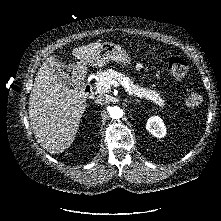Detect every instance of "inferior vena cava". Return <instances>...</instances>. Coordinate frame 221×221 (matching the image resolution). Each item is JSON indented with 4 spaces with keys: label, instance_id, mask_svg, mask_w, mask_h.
I'll return each mask as SVG.
<instances>
[{
    "label": "inferior vena cava",
    "instance_id": "obj_1",
    "mask_svg": "<svg viewBox=\"0 0 221 221\" xmlns=\"http://www.w3.org/2000/svg\"><path fill=\"white\" fill-rule=\"evenodd\" d=\"M95 103L103 104L105 103V100L103 99V96H97Z\"/></svg>",
    "mask_w": 221,
    "mask_h": 221
}]
</instances>
